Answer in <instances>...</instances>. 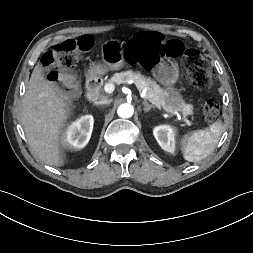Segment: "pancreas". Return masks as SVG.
<instances>
[{"instance_id": "obj_1", "label": "pancreas", "mask_w": 253, "mask_h": 253, "mask_svg": "<svg viewBox=\"0 0 253 253\" xmlns=\"http://www.w3.org/2000/svg\"><path fill=\"white\" fill-rule=\"evenodd\" d=\"M132 80L138 90H146L148 99L158 108L168 109L166 106L167 93L150 77H146L139 72L126 71L115 73L109 83L124 84ZM184 115L191 114V106L185 105L182 110Z\"/></svg>"}]
</instances>
